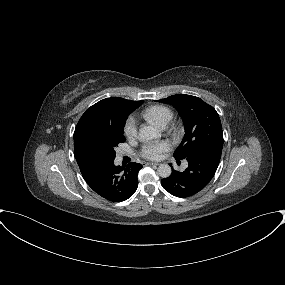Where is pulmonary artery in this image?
Wrapping results in <instances>:
<instances>
[{"label":"pulmonary artery","mask_w":285,"mask_h":285,"mask_svg":"<svg viewBox=\"0 0 285 285\" xmlns=\"http://www.w3.org/2000/svg\"><path fill=\"white\" fill-rule=\"evenodd\" d=\"M167 124L163 125L162 127H166ZM187 164L185 163L184 166H186Z\"/></svg>","instance_id":"obj_1"}]
</instances>
